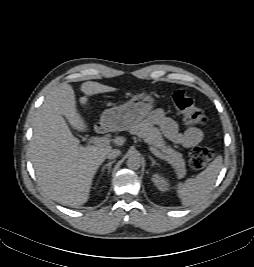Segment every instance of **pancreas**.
Here are the masks:
<instances>
[{
  "label": "pancreas",
  "instance_id": "obj_1",
  "mask_svg": "<svg viewBox=\"0 0 254 267\" xmlns=\"http://www.w3.org/2000/svg\"><path fill=\"white\" fill-rule=\"evenodd\" d=\"M130 133L142 138L151 147L160 150L164 155V159L173 166L178 178H183L186 175L185 160L182 154L166 145L160 131L156 127H153L147 121H142L132 126Z\"/></svg>",
  "mask_w": 254,
  "mask_h": 267
}]
</instances>
